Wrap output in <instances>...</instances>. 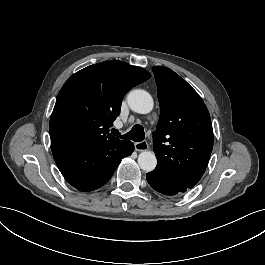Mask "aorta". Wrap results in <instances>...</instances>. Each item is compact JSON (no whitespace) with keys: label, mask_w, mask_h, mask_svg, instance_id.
Instances as JSON below:
<instances>
[{"label":"aorta","mask_w":265,"mask_h":265,"mask_svg":"<svg viewBox=\"0 0 265 265\" xmlns=\"http://www.w3.org/2000/svg\"><path fill=\"white\" fill-rule=\"evenodd\" d=\"M130 109L138 114L147 115L154 109L153 97L144 90H133L127 96ZM137 162L140 168L146 172L152 171L157 164L155 153L143 150L139 153Z\"/></svg>","instance_id":"1"}]
</instances>
